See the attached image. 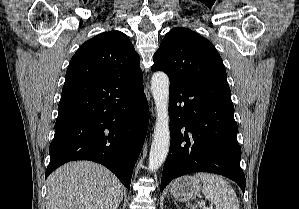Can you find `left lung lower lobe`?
Returning <instances> with one entry per match:
<instances>
[{
    "instance_id": "1",
    "label": "left lung lower lobe",
    "mask_w": 299,
    "mask_h": 209,
    "mask_svg": "<svg viewBox=\"0 0 299 209\" xmlns=\"http://www.w3.org/2000/svg\"><path fill=\"white\" fill-rule=\"evenodd\" d=\"M170 151L161 191L173 179L196 171L234 180L245 191L241 148L229 86L209 82H170Z\"/></svg>"
}]
</instances>
